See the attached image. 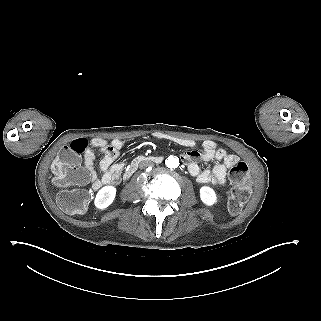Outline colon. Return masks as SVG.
Here are the masks:
<instances>
[{"mask_svg": "<svg viewBox=\"0 0 321 321\" xmlns=\"http://www.w3.org/2000/svg\"><path fill=\"white\" fill-rule=\"evenodd\" d=\"M89 148L87 139H77L61 149L53 162L52 171L56 183L62 187L82 186L88 175L80 166L82 155ZM233 184L228 198V209L231 214H239L251 195L252 180L248 166L242 161L232 165L228 173ZM89 195L86 189L78 187L66 189L58 196L60 207L72 215H80L86 211Z\"/></svg>", "mask_w": 321, "mask_h": 321, "instance_id": "colon-1", "label": "colon"}]
</instances>
